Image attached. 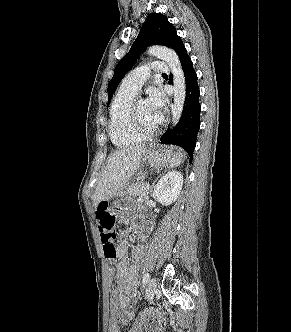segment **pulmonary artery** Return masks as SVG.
Segmentation results:
<instances>
[{"mask_svg":"<svg viewBox=\"0 0 291 332\" xmlns=\"http://www.w3.org/2000/svg\"><path fill=\"white\" fill-rule=\"evenodd\" d=\"M169 68L165 62L155 61L132 70L122 81L121 88L137 93L152 72L165 74Z\"/></svg>","mask_w":291,"mask_h":332,"instance_id":"e3ab8cb5","label":"pulmonary artery"}]
</instances>
